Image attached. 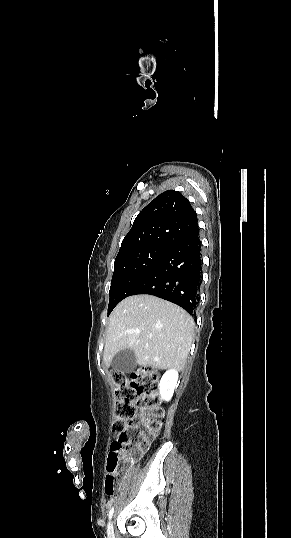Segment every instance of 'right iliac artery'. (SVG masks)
<instances>
[{
    "mask_svg": "<svg viewBox=\"0 0 291 538\" xmlns=\"http://www.w3.org/2000/svg\"><path fill=\"white\" fill-rule=\"evenodd\" d=\"M113 512H114V507H112L109 511V514H108V517L109 519H111L112 515H113Z\"/></svg>",
    "mask_w": 291,
    "mask_h": 538,
    "instance_id": "obj_1",
    "label": "right iliac artery"
}]
</instances>
